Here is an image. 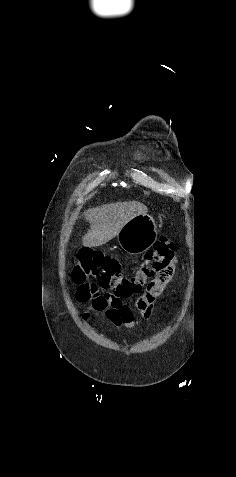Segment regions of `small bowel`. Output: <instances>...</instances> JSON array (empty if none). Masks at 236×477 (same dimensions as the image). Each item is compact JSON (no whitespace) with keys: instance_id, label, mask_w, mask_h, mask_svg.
<instances>
[{"instance_id":"obj_1","label":"small bowel","mask_w":236,"mask_h":477,"mask_svg":"<svg viewBox=\"0 0 236 477\" xmlns=\"http://www.w3.org/2000/svg\"><path fill=\"white\" fill-rule=\"evenodd\" d=\"M161 291H149L140 296L135 302L136 313L129 307L127 310L112 309L111 306L103 304L100 299H96L92 306L88 307V312L84 318H88L89 312L104 313L106 319L114 326L125 328L136 327L141 319H149L154 311V300Z\"/></svg>"}]
</instances>
